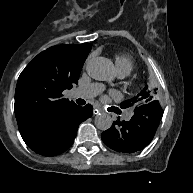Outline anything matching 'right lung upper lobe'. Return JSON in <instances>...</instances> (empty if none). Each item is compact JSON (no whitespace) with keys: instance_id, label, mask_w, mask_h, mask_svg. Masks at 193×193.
Here are the masks:
<instances>
[{"instance_id":"right-lung-upper-lobe-1","label":"right lung upper lobe","mask_w":193,"mask_h":193,"mask_svg":"<svg viewBox=\"0 0 193 193\" xmlns=\"http://www.w3.org/2000/svg\"><path fill=\"white\" fill-rule=\"evenodd\" d=\"M91 44H66L38 54L22 71L15 91V115L21 135L51 129L77 107L62 91L78 83Z\"/></svg>"}]
</instances>
